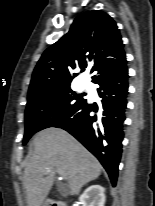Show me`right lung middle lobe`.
<instances>
[{
	"mask_svg": "<svg viewBox=\"0 0 155 206\" xmlns=\"http://www.w3.org/2000/svg\"><path fill=\"white\" fill-rule=\"evenodd\" d=\"M73 95L70 85H62L28 96L23 145L33 134L52 127L86 101L83 96Z\"/></svg>",
	"mask_w": 155,
	"mask_h": 206,
	"instance_id": "1",
	"label": "right lung middle lobe"
}]
</instances>
